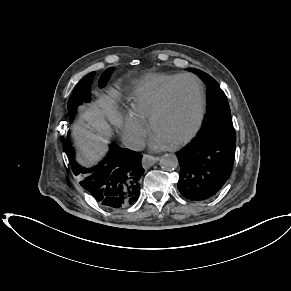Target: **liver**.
<instances>
[{
	"label": "liver",
	"mask_w": 291,
	"mask_h": 291,
	"mask_svg": "<svg viewBox=\"0 0 291 291\" xmlns=\"http://www.w3.org/2000/svg\"><path fill=\"white\" fill-rule=\"evenodd\" d=\"M82 121L72 128V136L80 153V162L92 165L107 151V138L111 128L106 118L114 124L120 123L115 100L109 95H102L95 106L84 108Z\"/></svg>",
	"instance_id": "1"
}]
</instances>
